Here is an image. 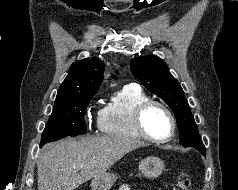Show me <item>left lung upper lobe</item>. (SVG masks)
I'll return each instance as SVG.
<instances>
[{
    "label": "left lung upper lobe",
    "instance_id": "obj_1",
    "mask_svg": "<svg viewBox=\"0 0 238 190\" xmlns=\"http://www.w3.org/2000/svg\"><path fill=\"white\" fill-rule=\"evenodd\" d=\"M133 75L152 93L163 99L173 110L180 135V144L197 148L205 155V146L178 81L166 63L157 56H143L130 61Z\"/></svg>",
    "mask_w": 238,
    "mask_h": 190
}]
</instances>
